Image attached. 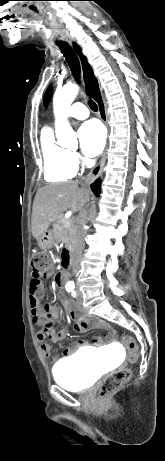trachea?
<instances>
[{
	"label": "trachea",
	"instance_id": "1",
	"mask_svg": "<svg viewBox=\"0 0 165 461\" xmlns=\"http://www.w3.org/2000/svg\"><path fill=\"white\" fill-rule=\"evenodd\" d=\"M60 47L70 69L72 74L74 75L75 78L78 79L79 73H80V62L79 59L76 55V53L72 50L70 45L68 43H60L58 44ZM84 79L88 88L89 93L92 95V97L97 101L102 103V98L98 86V81L96 77L94 76L93 70L91 66L88 64L86 61L85 63V72H84ZM89 106L93 111H97L98 107L97 104L94 101H89Z\"/></svg>",
	"mask_w": 165,
	"mask_h": 461
}]
</instances>
